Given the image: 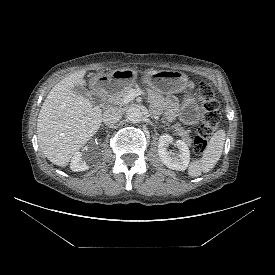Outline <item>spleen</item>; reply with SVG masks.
<instances>
[{
  "instance_id": "3e777b00",
  "label": "spleen",
  "mask_w": 275,
  "mask_h": 275,
  "mask_svg": "<svg viewBox=\"0 0 275 275\" xmlns=\"http://www.w3.org/2000/svg\"><path fill=\"white\" fill-rule=\"evenodd\" d=\"M225 139L226 133L224 130H218L215 132L211 137L202 158L200 160H194L190 164L188 168V175L190 177H198L202 173H207L215 167L221 157Z\"/></svg>"
}]
</instances>
